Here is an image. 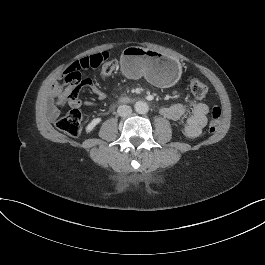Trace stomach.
Here are the masks:
<instances>
[{"instance_id": "1", "label": "stomach", "mask_w": 265, "mask_h": 265, "mask_svg": "<svg viewBox=\"0 0 265 265\" xmlns=\"http://www.w3.org/2000/svg\"><path fill=\"white\" fill-rule=\"evenodd\" d=\"M123 74L137 79L144 76L149 82L160 86L174 85L180 78V62L165 53L130 46L124 49L120 57Z\"/></svg>"}]
</instances>
